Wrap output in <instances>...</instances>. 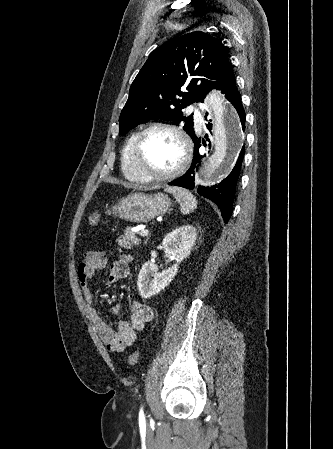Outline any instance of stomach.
Masks as SVG:
<instances>
[{"label": "stomach", "mask_w": 333, "mask_h": 449, "mask_svg": "<svg viewBox=\"0 0 333 449\" xmlns=\"http://www.w3.org/2000/svg\"><path fill=\"white\" fill-rule=\"evenodd\" d=\"M170 206L171 200L164 193H134L122 198L107 213L127 222L146 223L165 214Z\"/></svg>", "instance_id": "1"}]
</instances>
